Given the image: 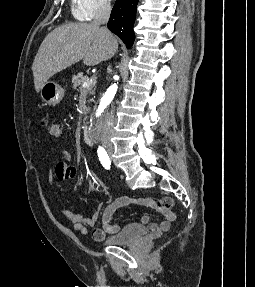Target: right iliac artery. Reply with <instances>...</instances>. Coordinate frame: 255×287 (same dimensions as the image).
Listing matches in <instances>:
<instances>
[{
  "instance_id": "right-iliac-artery-1",
  "label": "right iliac artery",
  "mask_w": 255,
  "mask_h": 287,
  "mask_svg": "<svg viewBox=\"0 0 255 287\" xmlns=\"http://www.w3.org/2000/svg\"><path fill=\"white\" fill-rule=\"evenodd\" d=\"M98 156L103 167H105L106 169H110L111 162L107 152L104 149L100 148L98 150Z\"/></svg>"
}]
</instances>
